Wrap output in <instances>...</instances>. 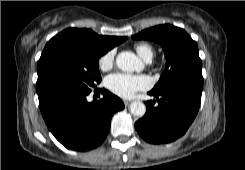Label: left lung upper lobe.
<instances>
[{
    "instance_id": "1",
    "label": "left lung upper lobe",
    "mask_w": 245,
    "mask_h": 170,
    "mask_svg": "<svg viewBox=\"0 0 245 170\" xmlns=\"http://www.w3.org/2000/svg\"><path fill=\"white\" fill-rule=\"evenodd\" d=\"M159 43L166 55V68L152 92L175 85L202 89V61L195 41L185 30L165 24L146 29L132 37Z\"/></svg>"
}]
</instances>
